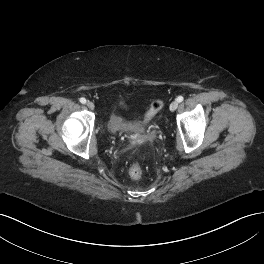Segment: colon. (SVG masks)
I'll list each match as a JSON object with an SVG mask.
<instances>
[{
    "instance_id": "colon-1",
    "label": "colon",
    "mask_w": 264,
    "mask_h": 264,
    "mask_svg": "<svg viewBox=\"0 0 264 264\" xmlns=\"http://www.w3.org/2000/svg\"><path fill=\"white\" fill-rule=\"evenodd\" d=\"M163 108V102L160 100L154 101L145 115V121L151 120ZM143 174L142 168L138 164H133L129 168V175L132 179H139Z\"/></svg>"
}]
</instances>
